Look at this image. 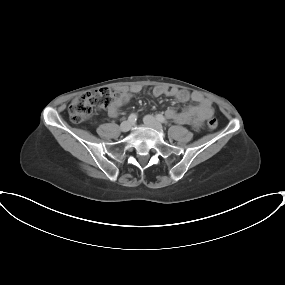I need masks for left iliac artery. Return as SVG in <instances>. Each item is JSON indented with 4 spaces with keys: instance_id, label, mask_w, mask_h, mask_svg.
I'll list each match as a JSON object with an SVG mask.
<instances>
[{
    "instance_id": "obj_1",
    "label": "left iliac artery",
    "mask_w": 285,
    "mask_h": 285,
    "mask_svg": "<svg viewBox=\"0 0 285 285\" xmlns=\"http://www.w3.org/2000/svg\"><path fill=\"white\" fill-rule=\"evenodd\" d=\"M156 119H157L159 122L163 123V124H166V123H167V120H166V119L164 118V116L161 115V114L156 115Z\"/></svg>"
}]
</instances>
